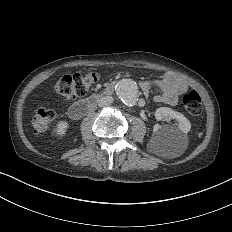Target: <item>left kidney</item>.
<instances>
[{"label": "left kidney", "mask_w": 232, "mask_h": 232, "mask_svg": "<svg viewBox=\"0 0 232 232\" xmlns=\"http://www.w3.org/2000/svg\"><path fill=\"white\" fill-rule=\"evenodd\" d=\"M155 118L158 121L164 118H172L177 120L178 125L161 126L159 124H155L153 127V134L149 142V145L152 148L174 151L185 149L187 147V133L191 129V124L183 114L168 107H161L156 110Z\"/></svg>", "instance_id": "obj_1"}]
</instances>
